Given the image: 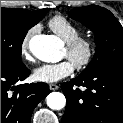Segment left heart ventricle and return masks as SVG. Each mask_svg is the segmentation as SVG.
<instances>
[{
	"label": "left heart ventricle",
	"mask_w": 123,
	"mask_h": 123,
	"mask_svg": "<svg viewBox=\"0 0 123 123\" xmlns=\"http://www.w3.org/2000/svg\"><path fill=\"white\" fill-rule=\"evenodd\" d=\"M62 55H63L64 58L69 59V60L74 64V62H75L77 59H80V58L82 57L83 52L80 51V52H78L76 55H74L73 57H70V56L68 55V52H67L66 48H64Z\"/></svg>",
	"instance_id": "obj_1"
}]
</instances>
